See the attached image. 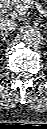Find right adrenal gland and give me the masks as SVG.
I'll list each match as a JSON object with an SVG mask.
<instances>
[{"label":"right adrenal gland","mask_w":47,"mask_h":129,"mask_svg":"<svg viewBox=\"0 0 47 129\" xmlns=\"http://www.w3.org/2000/svg\"><path fill=\"white\" fill-rule=\"evenodd\" d=\"M9 36V33H7V32H0V37L2 38L3 37V40L5 41L6 40V38Z\"/></svg>","instance_id":"1"}]
</instances>
